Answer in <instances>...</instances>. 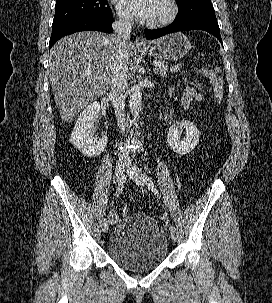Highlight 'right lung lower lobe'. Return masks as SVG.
Instances as JSON below:
<instances>
[{
    "instance_id": "1",
    "label": "right lung lower lobe",
    "mask_w": 272,
    "mask_h": 303,
    "mask_svg": "<svg viewBox=\"0 0 272 303\" xmlns=\"http://www.w3.org/2000/svg\"><path fill=\"white\" fill-rule=\"evenodd\" d=\"M113 16H79L65 20L52 25V35L49 42V49L65 35L79 31L96 30L106 33H112Z\"/></svg>"
}]
</instances>
